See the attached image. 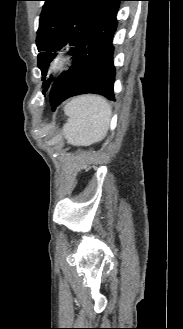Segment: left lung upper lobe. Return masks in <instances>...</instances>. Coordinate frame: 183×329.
<instances>
[{"label":"left lung upper lobe","instance_id":"obj_1","mask_svg":"<svg viewBox=\"0 0 183 329\" xmlns=\"http://www.w3.org/2000/svg\"><path fill=\"white\" fill-rule=\"evenodd\" d=\"M45 4L40 14L36 45L38 67L45 80L47 68L54 53L62 46L69 45V53L74 54L88 29L118 0H43ZM52 82L49 78L43 84V93Z\"/></svg>","mask_w":183,"mask_h":329}]
</instances>
